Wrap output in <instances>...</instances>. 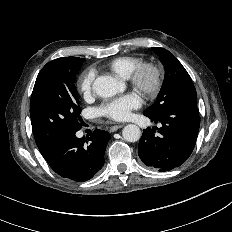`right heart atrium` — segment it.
<instances>
[{"label":"right heart atrium","instance_id":"obj_1","mask_svg":"<svg viewBox=\"0 0 232 232\" xmlns=\"http://www.w3.org/2000/svg\"><path fill=\"white\" fill-rule=\"evenodd\" d=\"M95 80V71L93 69L86 70L79 78L78 88L83 95H89L92 92Z\"/></svg>","mask_w":232,"mask_h":232}]
</instances>
